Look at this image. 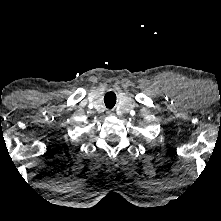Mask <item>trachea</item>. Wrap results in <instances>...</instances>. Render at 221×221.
Returning <instances> with one entry per match:
<instances>
[{"instance_id":"1","label":"trachea","mask_w":221,"mask_h":221,"mask_svg":"<svg viewBox=\"0 0 221 221\" xmlns=\"http://www.w3.org/2000/svg\"><path fill=\"white\" fill-rule=\"evenodd\" d=\"M104 103L106 105L107 108H113L114 105L116 104V95L114 92H108L106 93V95L104 96Z\"/></svg>"}]
</instances>
